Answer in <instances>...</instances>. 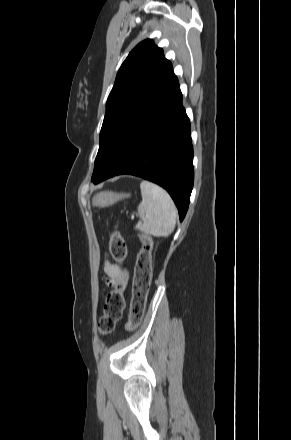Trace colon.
Wrapping results in <instances>:
<instances>
[{
  "label": "colon",
  "instance_id": "colon-1",
  "mask_svg": "<svg viewBox=\"0 0 291 440\" xmlns=\"http://www.w3.org/2000/svg\"><path fill=\"white\" fill-rule=\"evenodd\" d=\"M141 242L142 245L137 254L134 270L133 296L129 319L126 324L128 330L136 328L141 322L151 286L153 241L147 236H142ZM109 247L113 259L118 264H122L127 255V248L119 231L115 230L111 233ZM125 280L126 277L120 279L105 299L103 314L98 322V328L102 334L110 333L115 323L121 318L124 306Z\"/></svg>",
  "mask_w": 291,
  "mask_h": 440
}]
</instances>
